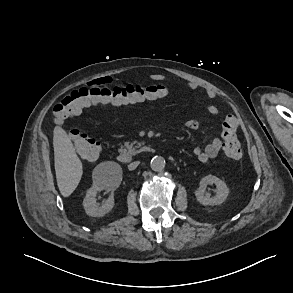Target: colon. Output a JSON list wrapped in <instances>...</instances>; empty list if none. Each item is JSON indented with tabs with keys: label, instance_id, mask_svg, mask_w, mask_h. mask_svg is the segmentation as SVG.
Returning a JSON list of instances; mask_svg holds the SVG:
<instances>
[{
	"label": "colon",
	"instance_id": "1",
	"mask_svg": "<svg viewBox=\"0 0 293 293\" xmlns=\"http://www.w3.org/2000/svg\"><path fill=\"white\" fill-rule=\"evenodd\" d=\"M165 91L158 85H112L109 81H94L64 95L53 108L54 119L61 122L78 115L88 106L101 104L123 106L152 98H158ZM238 121L229 115L222 125L223 150L233 159L242 155V147L237 137ZM74 147L88 162H96L100 155V144L95 137L79 129L69 132Z\"/></svg>",
	"mask_w": 293,
	"mask_h": 293
}]
</instances>
